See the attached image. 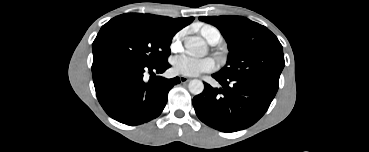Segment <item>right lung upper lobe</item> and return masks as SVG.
I'll list each match as a JSON object with an SVG mask.
<instances>
[{
    "mask_svg": "<svg viewBox=\"0 0 369 152\" xmlns=\"http://www.w3.org/2000/svg\"><path fill=\"white\" fill-rule=\"evenodd\" d=\"M125 16L139 24L173 34L177 33L194 20V17L170 18L141 13H126Z\"/></svg>",
    "mask_w": 369,
    "mask_h": 152,
    "instance_id": "obj_1",
    "label": "right lung upper lobe"
}]
</instances>
